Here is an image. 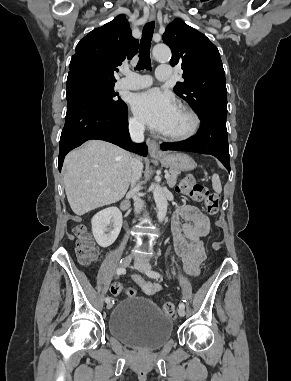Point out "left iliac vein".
Returning <instances> with one entry per match:
<instances>
[{
	"instance_id": "1",
	"label": "left iliac vein",
	"mask_w": 291,
	"mask_h": 381,
	"mask_svg": "<svg viewBox=\"0 0 291 381\" xmlns=\"http://www.w3.org/2000/svg\"><path fill=\"white\" fill-rule=\"evenodd\" d=\"M134 266L138 271L142 273H147L148 270H151V265L146 262H135ZM178 314L179 316L183 317L185 315L184 308H179Z\"/></svg>"
}]
</instances>
